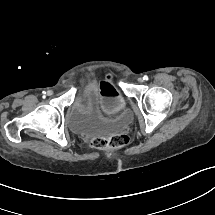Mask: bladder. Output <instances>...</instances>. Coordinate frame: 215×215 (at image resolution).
<instances>
[{"label": "bladder", "instance_id": "31cf9c89", "mask_svg": "<svg viewBox=\"0 0 215 215\" xmlns=\"http://www.w3.org/2000/svg\"><path fill=\"white\" fill-rule=\"evenodd\" d=\"M127 121V113H123L113 119L72 115L69 119V128L73 133L81 136H110L121 131Z\"/></svg>", "mask_w": 215, "mask_h": 215}]
</instances>
